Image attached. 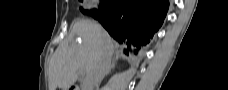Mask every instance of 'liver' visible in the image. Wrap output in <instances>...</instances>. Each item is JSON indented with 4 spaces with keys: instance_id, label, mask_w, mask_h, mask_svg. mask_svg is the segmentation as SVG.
<instances>
[{
    "instance_id": "1",
    "label": "liver",
    "mask_w": 228,
    "mask_h": 90,
    "mask_svg": "<svg viewBox=\"0 0 228 90\" xmlns=\"http://www.w3.org/2000/svg\"><path fill=\"white\" fill-rule=\"evenodd\" d=\"M75 36L80 41H74ZM113 53V41L98 23L76 21L69 37L58 46L50 61L49 90H69L77 80V71L82 70L87 76L103 54L111 58Z\"/></svg>"
}]
</instances>
